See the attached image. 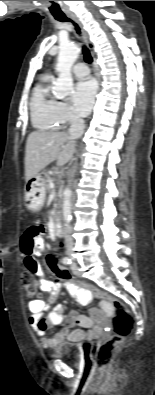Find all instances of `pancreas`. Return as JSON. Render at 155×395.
<instances>
[{
  "label": "pancreas",
  "mask_w": 155,
  "mask_h": 395,
  "mask_svg": "<svg viewBox=\"0 0 155 395\" xmlns=\"http://www.w3.org/2000/svg\"><path fill=\"white\" fill-rule=\"evenodd\" d=\"M45 177H46V179H45V189H46V191L49 192L51 190L49 184H50V182H52L53 179H52V177H50V175L48 173H45Z\"/></svg>",
  "instance_id": "obj_1"
}]
</instances>
